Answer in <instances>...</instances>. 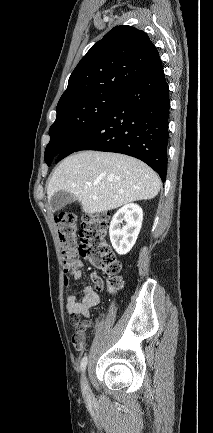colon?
<instances>
[{
  "instance_id": "1",
  "label": "colon",
  "mask_w": 213,
  "mask_h": 433,
  "mask_svg": "<svg viewBox=\"0 0 213 433\" xmlns=\"http://www.w3.org/2000/svg\"><path fill=\"white\" fill-rule=\"evenodd\" d=\"M54 219L64 261L65 284L69 283L68 273L76 264L77 257L82 256L103 274L105 281L96 275L93 277L99 289L106 287L111 292L120 289L123 286L118 276L120 262L107 242L108 216L105 213L87 216L79 231V244L75 215L63 211L56 214ZM71 324L76 332L82 330L83 322L78 316L71 317Z\"/></svg>"
}]
</instances>
